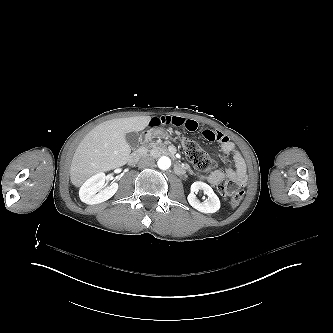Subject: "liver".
Here are the masks:
<instances>
[{"mask_svg": "<svg viewBox=\"0 0 333 333\" xmlns=\"http://www.w3.org/2000/svg\"><path fill=\"white\" fill-rule=\"evenodd\" d=\"M150 116L118 118L93 128L78 145L70 167V179L80 187L92 175L125 165L131 153L126 134L142 131Z\"/></svg>", "mask_w": 333, "mask_h": 333, "instance_id": "1", "label": "liver"}]
</instances>
